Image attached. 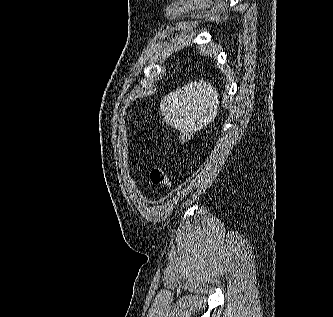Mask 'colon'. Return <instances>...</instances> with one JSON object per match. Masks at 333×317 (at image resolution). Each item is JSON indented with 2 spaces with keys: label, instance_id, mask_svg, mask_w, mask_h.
<instances>
[{
  "label": "colon",
  "instance_id": "obj_1",
  "mask_svg": "<svg viewBox=\"0 0 333 317\" xmlns=\"http://www.w3.org/2000/svg\"><path fill=\"white\" fill-rule=\"evenodd\" d=\"M192 137V132L190 130H182L178 135V144L184 145L190 141ZM150 179L153 184L159 185L165 189L171 187V179L165 167L158 166L154 167L150 172Z\"/></svg>",
  "mask_w": 333,
  "mask_h": 317
}]
</instances>
